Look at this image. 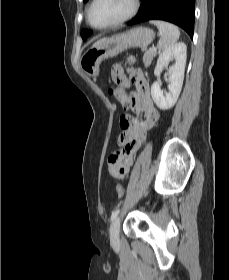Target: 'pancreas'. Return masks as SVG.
I'll return each instance as SVG.
<instances>
[{
  "instance_id": "cf45deb5",
  "label": "pancreas",
  "mask_w": 229,
  "mask_h": 280,
  "mask_svg": "<svg viewBox=\"0 0 229 280\" xmlns=\"http://www.w3.org/2000/svg\"><path fill=\"white\" fill-rule=\"evenodd\" d=\"M157 52L156 51H151V50H145L144 56H143V63L145 67H148L153 58L156 56Z\"/></svg>"
}]
</instances>
